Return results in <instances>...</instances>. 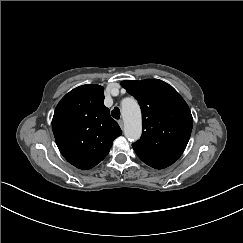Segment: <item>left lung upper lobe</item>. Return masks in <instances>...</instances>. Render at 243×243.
<instances>
[{"label": "left lung upper lobe", "instance_id": "left-lung-upper-lobe-1", "mask_svg": "<svg viewBox=\"0 0 243 243\" xmlns=\"http://www.w3.org/2000/svg\"><path fill=\"white\" fill-rule=\"evenodd\" d=\"M122 87L141 107L143 131L132 144L137 156L155 169L173 164L189 141L193 119L180 94L158 79L122 81Z\"/></svg>", "mask_w": 243, "mask_h": 243}]
</instances>
